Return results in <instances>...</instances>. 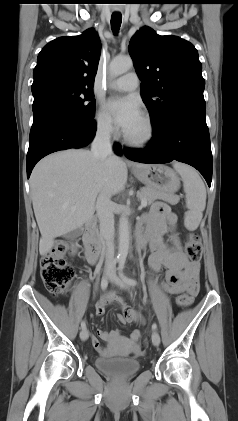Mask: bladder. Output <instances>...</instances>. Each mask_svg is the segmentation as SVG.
Returning a JSON list of instances; mask_svg holds the SVG:
<instances>
[{
    "label": "bladder",
    "mask_w": 238,
    "mask_h": 421,
    "mask_svg": "<svg viewBox=\"0 0 238 421\" xmlns=\"http://www.w3.org/2000/svg\"><path fill=\"white\" fill-rule=\"evenodd\" d=\"M95 366L103 373L116 377L127 378L137 373L141 367L136 359L122 357H98Z\"/></svg>",
    "instance_id": "31cf9c89"
}]
</instances>
